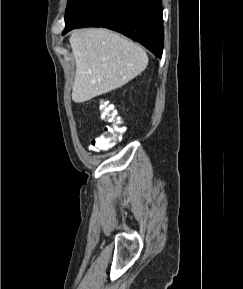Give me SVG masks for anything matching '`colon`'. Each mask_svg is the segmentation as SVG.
<instances>
[{"label": "colon", "instance_id": "obj_1", "mask_svg": "<svg viewBox=\"0 0 243 289\" xmlns=\"http://www.w3.org/2000/svg\"><path fill=\"white\" fill-rule=\"evenodd\" d=\"M101 118L111 123L104 128L101 134L92 140L90 149L92 151L106 150L112 148L126 132L127 128L123 124V119L119 116L115 107L108 101L101 100L100 105Z\"/></svg>", "mask_w": 243, "mask_h": 289}]
</instances>
